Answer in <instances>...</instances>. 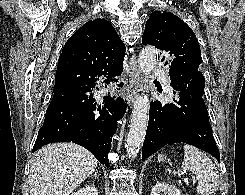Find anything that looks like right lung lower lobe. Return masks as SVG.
Returning <instances> with one entry per match:
<instances>
[{
  "mask_svg": "<svg viewBox=\"0 0 245 195\" xmlns=\"http://www.w3.org/2000/svg\"><path fill=\"white\" fill-rule=\"evenodd\" d=\"M102 77L107 79L101 82ZM109 78L103 74L87 85L54 92L32 152L48 143L74 142L109 167L112 136L116 132L117 121L126 111L123 99L110 93L103 97L100 105L95 101L92 91L99 90V83L109 84ZM118 86L121 87L122 83Z\"/></svg>",
  "mask_w": 245,
  "mask_h": 195,
  "instance_id": "right-lung-lower-lobe-1",
  "label": "right lung lower lobe"
}]
</instances>
